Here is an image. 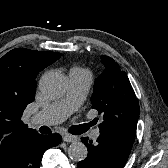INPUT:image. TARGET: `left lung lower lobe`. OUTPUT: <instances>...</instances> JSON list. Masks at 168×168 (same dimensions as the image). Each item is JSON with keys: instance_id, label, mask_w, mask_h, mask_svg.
I'll return each instance as SVG.
<instances>
[{"instance_id": "0a47b994", "label": "left lung lower lobe", "mask_w": 168, "mask_h": 168, "mask_svg": "<svg viewBox=\"0 0 168 168\" xmlns=\"http://www.w3.org/2000/svg\"><path fill=\"white\" fill-rule=\"evenodd\" d=\"M87 146L88 156L77 168H123L130 155L133 142L110 132L100 131L96 144L81 138Z\"/></svg>"}]
</instances>
